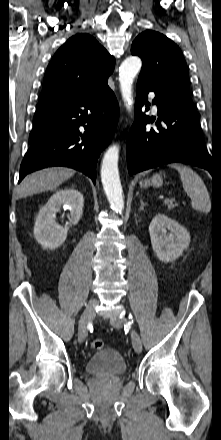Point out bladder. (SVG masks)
<instances>
[{"mask_svg":"<svg viewBox=\"0 0 221 440\" xmlns=\"http://www.w3.org/2000/svg\"><path fill=\"white\" fill-rule=\"evenodd\" d=\"M89 375L114 377L126 371L123 356L115 349H104L92 355L85 364Z\"/></svg>","mask_w":221,"mask_h":440,"instance_id":"1","label":"bladder"}]
</instances>
